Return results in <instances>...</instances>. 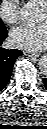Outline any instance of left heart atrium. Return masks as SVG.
Listing matches in <instances>:
<instances>
[{
  "instance_id": "obj_1",
  "label": "left heart atrium",
  "mask_w": 47,
  "mask_h": 129,
  "mask_svg": "<svg viewBox=\"0 0 47 129\" xmlns=\"http://www.w3.org/2000/svg\"><path fill=\"white\" fill-rule=\"evenodd\" d=\"M11 42L18 48L38 51L46 46L47 25L41 23H24L11 32Z\"/></svg>"
}]
</instances>
